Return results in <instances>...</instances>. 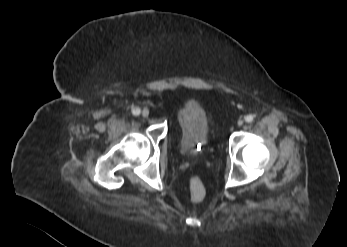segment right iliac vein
<instances>
[{
    "label": "right iliac vein",
    "instance_id": "1",
    "mask_svg": "<svg viewBox=\"0 0 347 247\" xmlns=\"http://www.w3.org/2000/svg\"><path fill=\"white\" fill-rule=\"evenodd\" d=\"M148 115H149V110H148V109H144V110L142 111V116H143V117H148Z\"/></svg>",
    "mask_w": 347,
    "mask_h": 247
}]
</instances>
